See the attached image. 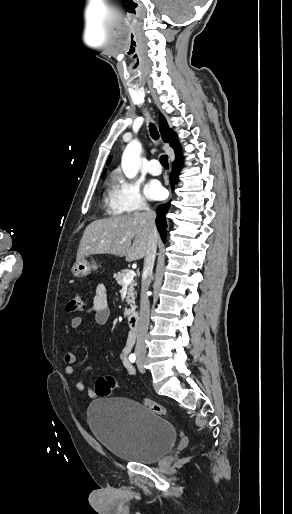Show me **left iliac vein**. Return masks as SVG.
<instances>
[{
  "mask_svg": "<svg viewBox=\"0 0 292 514\" xmlns=\"http://www.w3.org/2000/svg\"><path fill=\"white\" fill-rule=\"evenodd\" d=\"M137 366H138V369L141 373H144L145 372V367H144V363L140 362L139 360L137 361Z\"/></svg>",
  "mask_w": 292,
  "mask_h": 514,
  "instance_id": "1",
  "label": "left iliac vein"
}]
</instances>
